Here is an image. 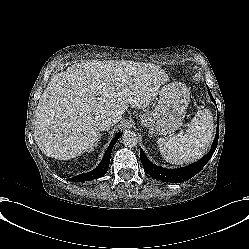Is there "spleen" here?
Wrapping results in <instances>:
<instances>
[{
	"label": "spleen",
	"instance_id": "1",
	"mask_svg": "<svg viewBox=\"0 0 249 249\" xmlns=\"http://www.w3.org/2000/svg\"><path fill=\"white\" fill-rule=\"evenodd\" d=\"M213 121L207 110H200L184 135L158 138L157 145L164 159L172 164L190 163L199 159L212 139Z\"/></svg>",
	"mask_w": 249,
	"mask_h": 249
}]
</instances>
